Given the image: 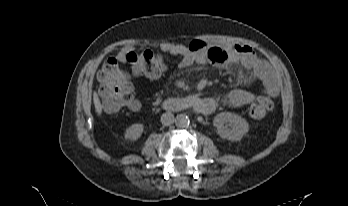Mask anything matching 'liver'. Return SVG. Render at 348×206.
<instances>
[{
  "label": "liver",
  "instance_id": "1",
  "mask_svg": "<svg viewBox=\"0 0 348 206\" xmlns=\"http://www.w3.org/2000/svg\"><path fill=\"white\" fill-rule=\"evenodd\" d=\"M93 102H94V106H95V110H96L97 114L101 115L102 105H101L100 99L98 97V94L96 92H94V94H93Z\"/></svg>",
  "mask_w": 348,
  "mask_h": 206
}]
</instances>
